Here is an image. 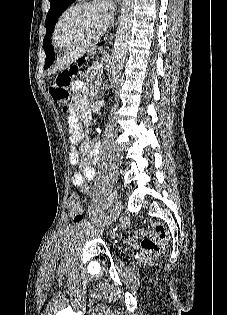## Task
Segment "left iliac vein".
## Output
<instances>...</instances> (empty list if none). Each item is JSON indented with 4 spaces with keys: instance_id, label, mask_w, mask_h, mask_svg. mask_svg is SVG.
<instances>
[{
    "instance_id": "obj_1",
    "label": "left iliac vein",
    "mask_w": 227,
    "mask_h": 315,
    "mask_svg": "<svg viewBox=\"0 0 227 315\" xmlns=\"http://www.w3.org/2000/svg\"><path fill=\"white\" fill-rule=\"evenodd\" d=\"M113 193H115L116 198H117L118 197L117 190H114ZM122 207H123L122 202L120 200L116 201L115 205L113 206L109 215L107 216L106 224L109 225L118 218V216L122 210Z\"/></svg>"
}]
</instances>
